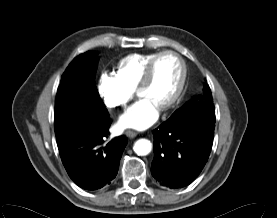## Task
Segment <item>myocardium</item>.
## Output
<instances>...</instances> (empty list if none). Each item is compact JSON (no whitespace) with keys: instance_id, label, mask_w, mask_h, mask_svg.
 I'll list each match as a JSON object with an SVG mask.
<instances>
[{"instance_id":"myocardium-1","label":"myocardium","mask_w":277,"mask_h":218,"mask_svg":"<svg viewBox=\"0 0 277 218\" xmlns=\"http://www.w3.org/2000/svg\"><path fill=\"white\" fill-rule=\"evenodd\" d=\"M167 55L174 56L178 60L180 66H181V76H180L179 84H178L173 96L160 108L161 110H167V109L171 108L172 106H174L175 103L180 99V97L183 93V90L185 88V84H186V80H187V65H186L185 60L179 53L172 51V50H164V51L157 53L152 58V60L149 62V64L147 65L144 75H143L142 79L140 80L139 85L137 87V92L139 93L142 89H144L145 87H147L149 85V83L151 82V80L153 78V73H154V69H155L157 62L159 61L160 58L167 56Z\"/></svg>"}]
</instances>
